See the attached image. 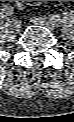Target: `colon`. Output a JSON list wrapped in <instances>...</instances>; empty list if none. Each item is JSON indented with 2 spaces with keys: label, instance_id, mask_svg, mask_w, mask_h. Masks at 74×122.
Masks as SVG:
<instances>
[{
  "label": "colon",
  "instance_id": "5ec220e1",
  "mask_svg": "<svg viewBox=\"0 0 74 122\" xmlns=\"http://www.w3.org/2000/svg\"><path fill=\"white\" fill-rule=\"evenodd\" d=\"M27 4H35V3H38L40 1H25Z\"/></svg>",
  "mask_w": 74,
  "mask_h": 122
}]
</instances>
